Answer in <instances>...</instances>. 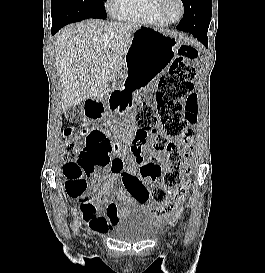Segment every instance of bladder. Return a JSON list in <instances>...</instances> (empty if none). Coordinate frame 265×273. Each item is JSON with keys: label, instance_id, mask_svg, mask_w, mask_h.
Returning a JSON list of instances; mask_svg holds the SVG:
<instances>
[{"label": "bladder", "instance_id": "obj_1", "mask_svg": "<svg viewBox=\"0 0 265 273\" xmlns=\"http://www.w3.org/2000/svg\"><path fill=\"white\" fill-rule=\"evenodd\" d=\"M160 217L143 205L128 207L110 231L125 242H140L152 238L159 227Z\"/></svg>", "mask_w": 265, "mask_h": 273}]
</instances>
